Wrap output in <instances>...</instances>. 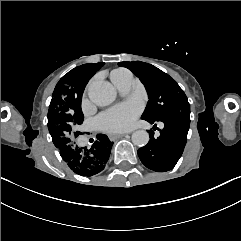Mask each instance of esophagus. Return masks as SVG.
<instances>
[{"label":"esophagus","mask_w":241,"mask_h":241,"mask_svg":"<svg viewBox=\"0 0 241 241\" xmlns=\"http://www.w3.org/2000/svg\"><path fill=\"white\" fill-rule=\"evenodd\" d=\"M124 136H125V134H123V133H121V134H109L108 135V137L111 141H115V140H117L119 138H122Z\"/></svg>","instance_id":"esophagus-1"}]
</instances>
